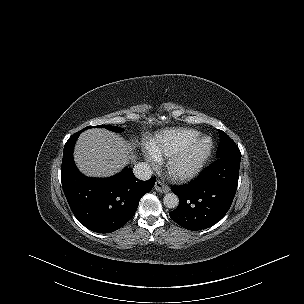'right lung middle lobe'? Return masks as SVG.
Segmentation results:
<instances>
[{"mask_svg": "<svg viewBox=\"0 0 304 304\" xmlns=\"http://www.w3.org/2000/svg\"><path fill=\"white\" fill-rule=\"evenodd\" d=\"M91 127H93V126H88V127H85L84 129H82L81 131H84V130H86V129H88V128H91ZM97 128L99 127V128H106V129H108V130H111V131H114V132H123L124 131V129L123 128H120V127H117V126H110V125H98V126H96Z\"/></svg>", "mask_w": 304, "mask_h": 304, "instance_id": "1", "label": "right lung middle lobe"}]
</instances>
